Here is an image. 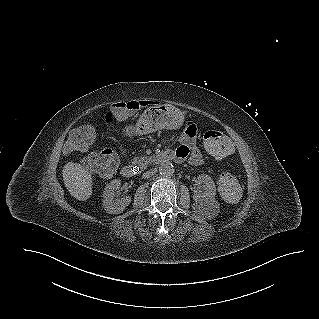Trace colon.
<instances>
[{
  "instance_id": "obj_1",
  "label": "colon",
  "mask_w": 319,
  "mask_h": 319,
  "mask_svg": "<svg viewBox=\"0 0 319 319\" xmlns=\"http://www.w3.org/2000/svg\"><path fill=\"white\" fill-rule=\"evenodd\" d=\"M92 138L93 130L90 127H80L70 135L65 149L69 152L82 150ZM140 139L141 130L136 125H127L122 132H117L114 135V142L117 145L136 144ZM204 143L209 157L217 163L228 161L234 153V146L230 137L219 131H207L204 135ZM87 165L91 171L109 177L117 168L118 156L112 149L105 148L93 153L89 157ZM219 189L222 197L228 201L238 199L241 193L239 181L230 174L221 176Z\"/></svg>"
}]
</instances>
